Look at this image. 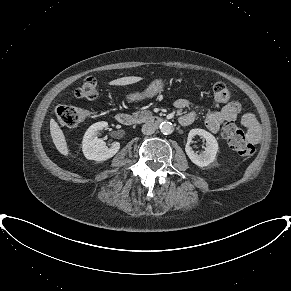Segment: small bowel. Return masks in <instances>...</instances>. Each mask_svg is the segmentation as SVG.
Wrapping results in <instances>:
<instances>
[{
	"label": "small bowel",
	"mask_w": 291,
	"mask_h": 291,
	"mask_svg": "<svg viewBox=\"0 0 291 291\" xmlns=\"http://www.w3.org/2000/svg\"><path fill=\"white\" fill-rule=\"evenodd\" d=\"M177 109L188 108L190 103L187 99L180 98L174 103ZM241 106L238 102H229L219 110H211L207 113L205 118V125L212 133H218L223 123L229 120H236L240 113ZM196 114L194 110L187 111L180 118L179 122L188 126L195 120ZM243 126L246 128L247 137L250 142L257 143L260 139V126L256 118L252 114H245L241 118Z\"/></svg>",
	"instance_id": "small-bowel-1"
}]
</instances>
